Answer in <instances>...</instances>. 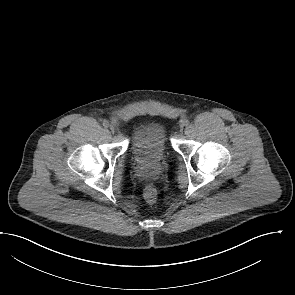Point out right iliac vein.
Segmentation results:
<instances>
[{"instance_id": "obj_1", "label": "right iliac vein", "mask_w": 295, "mask_h": 295, "mask_svg": "<svg viewBox=\"0 0 295 295\" xmlns=\"http://www.w3.org/2000/svg\"><path fill=\"white\" fill-rule=\"evenodd\" d=\"M110 130H111L112 132H114V131H115V127H114V126H110Z\"/></svg>"}]
</instances>
